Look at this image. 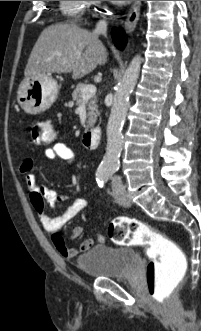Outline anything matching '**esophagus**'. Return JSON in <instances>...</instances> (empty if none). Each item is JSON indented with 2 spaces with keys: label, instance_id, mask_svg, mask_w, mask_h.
Listing matches in <instances>:
<instances>
[{
  "label": "esophagus",
  "instance_id": "34e87169",
  "mask_svg": "<svg viewBox=\"0 0 201 331\" xmlns=\"http://www.w3.org/2000/svg\"><path fill=\"white\" fill-rule=\"evenodd\" d=\"M141 1H134L132 4L128 16L125 21V28L128 32H132L137 24L140 15Z\"/></svg>",
  "mask_w": 201,
  "mask_h": 331
}]
</instances>
